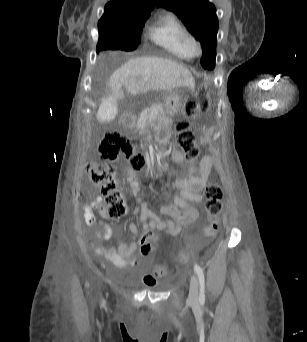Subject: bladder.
I'll return each mask as SVG.
<instances>
[{
    "instance_id": "31cf9c89",
    "label": "bladder",
    "mask_w": 307,
    "mask_h": 342,
    "mask_svg": "<svg viewBox=\"0 0 307 342\" xmlns=\"http://www.w3.org/2000/svg\"><path fill=\"white\" fill-rule=\"evenodd\" d=\"M157 286V283H153V284H148L149 288H155Z\"/></svg>"
}]
</instances>
